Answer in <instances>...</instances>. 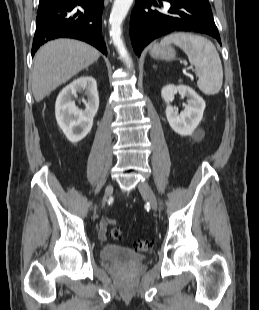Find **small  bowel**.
<instances>
[{"label": "small bowel", "instance_id": "small-bowel-1", "mask_svg": "<svg viewBox=\"0 0 259 310\" xmlns=\"http://www.w3.org/2000/svg\"><path fill=\"white\" fill-rule=\"evenodd\" d=\"M106 232H107V225L103 221L99 224L98 228V236L100 240H106Z\"/></svg>", "mask_w": 259, "mask_h": 310}]
</instances>
